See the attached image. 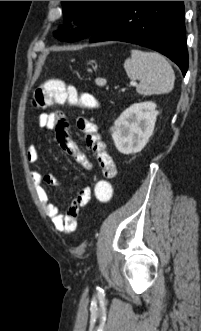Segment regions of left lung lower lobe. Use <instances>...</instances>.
<instances>
[{
	"label": "left lung lower lobe",
	"mask_w": 201,
	"mask_h": 331,
	"mask_svg": "<svg viewBox=\"0 0 201 331\" xmlns=\"http://www.w3.org/2000/svg\"><path fill=\"white\" fill-rule=\"evenodd\" d=\"M89 41L138 44L188 69L183 1H120Z\"/></svg>",
	"instance_id": "0a47b994"
}]
</instances>
